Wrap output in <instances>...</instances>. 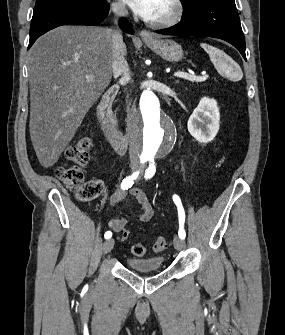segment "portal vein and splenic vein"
Masks as SVG:
<instances>
[{
	"instance_id": "1",
	"label": "portal vein and splenic vein",
	"mask_w": 285,
	"mask_h": 335,
	"mask_svg": "<svg viewBox=\"0 0 285 335\" xmlns=\"http://www.w3.org/2000/svg\"><path fill=\"white\" fill-rule=\"evenodd\" d=\"M174 76L177 78H184V80H190V82H205L208 76H194V74H186V72H175ZM88 82H92L93 76H86Z\"/></svg>"
}]
</instances>
